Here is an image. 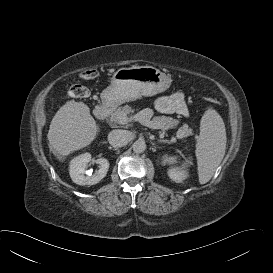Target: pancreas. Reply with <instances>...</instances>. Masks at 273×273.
Instances as JSON below:
<instances>
[{
  "label": "pancreas",
  "mask_w": 273,
  "mask_h": 273,
  "mask_svg": "<svg viewBox=\"0 0 273 273\" xmlns=\"http://www.w3.org/2000/svg\"><path fill=\"white\" fill-rule=\"evenodd\" d=\"M132 107L128 105H124L118 107L110 116V121L113 125H127L129 120L125 119L128 114L133 113ZM152 129H160L161 131H165L169 128H172L177 125L178 121L166 116H154L150 121ZM192 134V129L188 127L187 124H184L177 131V136L179 138L187 137Z\"/></svg>",
  "instance_id": "obj_1"
}]
</instances>
